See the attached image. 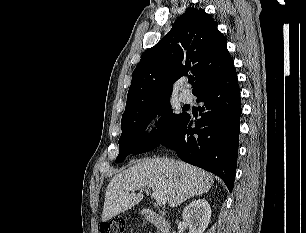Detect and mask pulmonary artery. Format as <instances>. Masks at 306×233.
Segmentation results:
<instances>
[{
  "instance_id": "obj_1",
  "label": "pulmonary artery",
  "mask_w": 306,
  "mask_h": 233,
  "mask_svg": "<svg viewBox=\"0 0 306 233\" xmlns=\"http://www.w3.org/2000/svg\"><path fill=\"white\" fill-rule=\"evenodd\" d=\"M179 98H180V101L183 103V104H190L192 102V96L191 94L186 91V90H183L180 95H179Z\"/></svg>"
}]
</instances>
